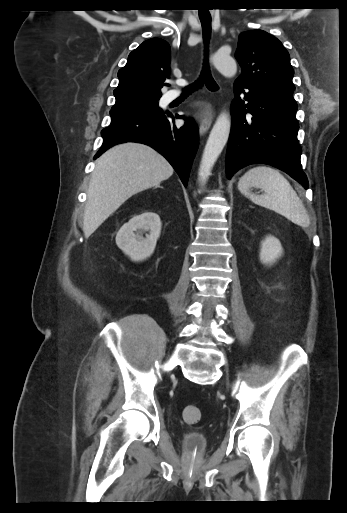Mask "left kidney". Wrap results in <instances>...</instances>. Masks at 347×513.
I'll list each match as a JSON object with an SVG mask.
<instances>
[{
    "label": "left kidney",
    "mask_w": 347,
    "mask_h": 513,
    "mask_svg": "<svg viewBox=\"0 0 347 513\" xmlns=\"http://www.w3.org/2000/svg\"><path fill=\"white\" fill-rule=\"evenodd\" d=\"M283 253L280 241L274 236H266L261 241L260 260L264 264L274 263Z\"/></svg>",
    "instance_id": "left-kidney-1"
}]
</instances>
